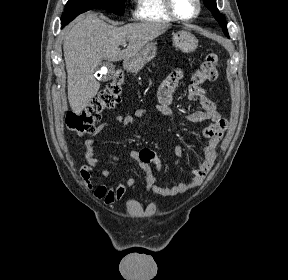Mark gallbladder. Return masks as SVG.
Returning a JSON list of instances; mask_svg holds the SVG:
<instances>
[{"label": "gallbladder", "mask_w": 288, "mask_h": 280, "mask_svg": "<svg viewBox=\"0 0 288 280\" xmlns=\"http://www.w3.org/2000/svg\"><path fill=\"white\" fill-rule=\"evenodd\" d=\"M103 65H105L108 68V70H109V72L106 74V76L104 77L103 80H108V79L111 78V75H112L113 70H114V65L112 63H110V62L104 63Z\"/></svg>", "instance_id": "gallbladder-1"}]
</instances>
